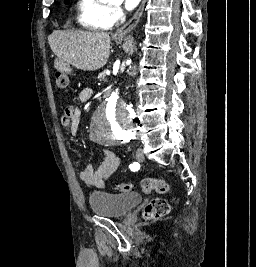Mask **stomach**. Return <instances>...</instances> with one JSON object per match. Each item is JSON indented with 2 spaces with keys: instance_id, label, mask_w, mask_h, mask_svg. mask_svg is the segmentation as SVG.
Returning a JSON list of instances; mask_svg holds the SVG:
<instances>
[{
  "instance_id": "0dacf381",
  "label": "stomach",
  "mask_w": 256,
  "mask_h": 267,
  "mask_svg": "<svg viewBox=\"0 0 256 267\" xmlns=\"http://www.w3.org/2000/svg\"><path fill=\"white\" fill-rule=\"evenodd\" d=\"M118 42L122 40V38H117ZM54 67H69V62H54Z\"/></svg>"
}]
</instances>
